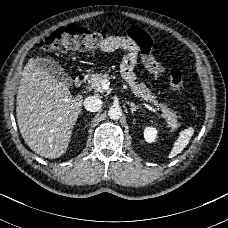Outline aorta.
<instances>
[{"instance_id":"obj_1","label":"aorta","mask_w":228,"mask_h":228,"mask_svg":"<svg viewBox=\"0 0 228 228\" xmlns=\"http://www.w3.org/2000/svg\"><path fill=\"white\" fill-rule=\"evenodd\" d=\"M108 115L109 118L112 120H118L120 119L121 115H122V110L120 107H111L108 110Z\"/></svg>"}]
</instances>
